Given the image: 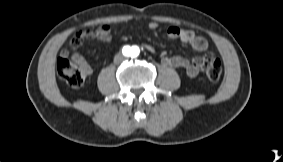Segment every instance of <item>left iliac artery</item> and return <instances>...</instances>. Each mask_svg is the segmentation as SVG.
Segmentation results:
<instances>
[{"mask_svg":"<svg viewBox=\"0 0 283 162\" xmlns=\"http://www.w3.org/2000/svg\"><path fill=\"white\" fill-rule=\"evenodd\" d=\"M139 54V48L137 46L132 47V56H137Z\"/></svg>","mask_w":283,"mask_h":162,"instance_id":"1","label":"left iliac artery"}]
</instances>
